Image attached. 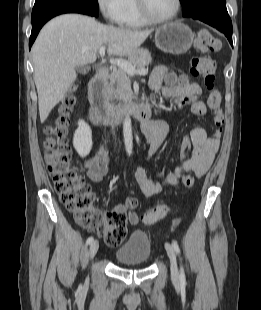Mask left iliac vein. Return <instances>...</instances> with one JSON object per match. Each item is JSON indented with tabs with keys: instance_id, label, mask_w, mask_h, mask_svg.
Listing matches in <instances>:
<instances>
[{
	"instance_id": "obj_1",
	"label": "left iliac vein",
	"mask_w": 261,
	"mask_h": 310,
	"mask_svg": "<svg viewBox=\"0 0 261 310\" xmlns=\"http://www.w3.org/2000/svg\"><path fill=\"white\" fill-rule=\"evenodd\" d=\"M165 249H166L167 255L170 259L171 278L174 281H178L179 280V271H178V266H177V259H176L175 250L168 243L165 244Z\"/></svg>"
}]
</instances>
